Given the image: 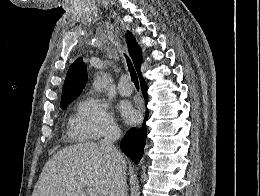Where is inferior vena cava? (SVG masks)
I'll use <instances>...</instances> for the list:
<instances>
[{"label": "inferior vena cava", "mask_w": 260, "mask_h": 196, "mask_svg": "<svg viewBox=\"0 0 260 196\" xmlns=\"http://www.w3.org/2000/svg\"><path fill=\"white\" fill-rule=\"evenodd\" d=\"M119 138L120 132L118 130H110L104 140L99 142L100 150H104L105 154H111L114 164L118 166L109 196H125L126 192L125 158L114 148V142Z\"/></svg>", "instance_id": "obj_1"}]
</instances>
